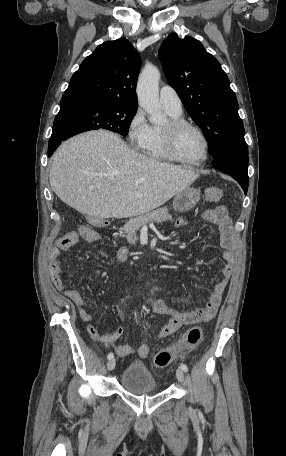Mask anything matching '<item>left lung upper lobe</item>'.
<instances>
[{
	"mask_svg": "<svg viewBox=\"0 0 286 456\" xmlns=\"http://www.w3.org/2000/svg\"><path fill=\"white\" fill-rule=\"evenodd\" d=\"M158 56L168 83L203 130L213 158L248 153L238 101L218 60L198 40L176 33L163 41Z\"/></svg>",
	"mask_w": 286,
	"mask_h": 456,
	"instance_id": "5c2ea615",
	"label": "left lung upper lobe"
}]
</instances>
